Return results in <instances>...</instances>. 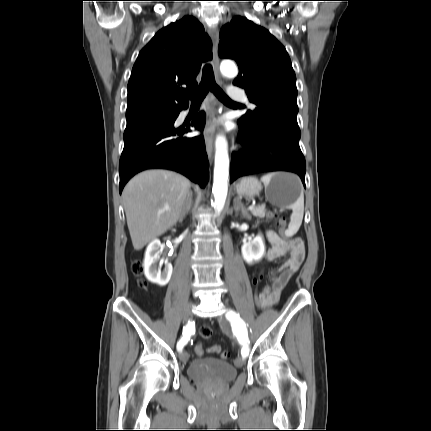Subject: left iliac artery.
Listing matches in <instances>:
<instances>
[{
  "label": "left iliac artery",
  "instance_id": "left-iliac-artery-1",
  "mask_svg": "<svg viewBox=\"0 0 431 431\" xmlns=\"http://www.w3.org/2000/svg\"><path fill=\"white\" fill-rule=\"evenodd\" d=\"M226 317L235 325L239 330L238 340L243 345L241 349V355L243 358L249 354V340L247 336V329L245 322L240 318L239 314L234 311H229Z\"/></svg>",
  "mask_w": 431,
  "mask_h": 431
}]
</instances>
